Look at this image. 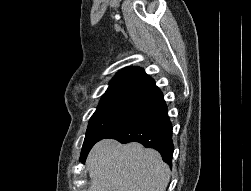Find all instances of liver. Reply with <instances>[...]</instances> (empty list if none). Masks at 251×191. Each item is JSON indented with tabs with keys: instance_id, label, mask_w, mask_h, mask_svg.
I'll return each mask as SVG.
<instances>
[{
	"instance_id": "6515ba94",
	"label": "liver",
	"mask_w": 251,
	"mask_h": 191,
	"mask_svg": "<svg viewBox=\"0 0 251 191\" xmlns=\"http://www.w3.org/2000/svg\"><path fill=\"white\" fill-rule=\"evenodd\" d=\"M87 167L88 191H165L170 167L152 147L137 141L119 143L102 139L93 145Z\"/></svg>"
}]
</instances>
